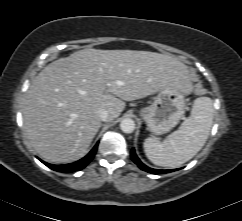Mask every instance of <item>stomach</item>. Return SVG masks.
Wrapping results in <instances>:
<instances>
[{"label":"stomach","mask_w":242,"mask_h":221,"mask_svg":"<svg viewBox=\"0 0 242 221\" xmlns=\"http://www.w3.org/2000/svg\"><path fill=\"white\" fill-rule=\"evenodd\" d=\"M185 94L181 90L163 88L153 98L151 105L140 110L149 131L161 135L175 127L183 117Z\"/></svg>","instance_id":"0dacf381"}]
</instances>
